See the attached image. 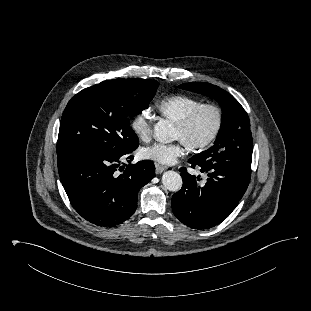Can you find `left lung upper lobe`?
<instances>
[{
    "mask_svg": "<svg viewBox=\"0 0 311 311\" xmlns=\"http://www.w3.org/2000/svg\"><path fill=\"white\" fill-rule=\"evenodd\" d=\"M181 89L217 100L222 107L221 127L214 145L191 157L198 162L252 161L253 141L249 117L241 104L223 89L204 82L185 83Z\"/></svg>",
    "mask_w": 311,
    "mask_h": 311,
    "instance_id": "left-lung-upper-lobe-1",
    "label": "left lung upper lobe"
}]
</instances>
